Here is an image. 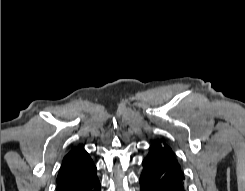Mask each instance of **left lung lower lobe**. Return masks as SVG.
Here are the masks:
<instances>
[{"instance_id": "left-lung-lower-lobe-1", "label": "left lung lower lobe", "mask_w": 245, "mask_h": 191, "mask_svg": "<svg viewBox=\"0 0 245 191\" xmlns=\"http://www.w3.org/2000/svg\"><path fill=\"white\" fill-rule=\"evenodd\" d=\"M142 167L140 191H187L183 169L174 155L150 147Z\"/></svg>"}]
</instances>
